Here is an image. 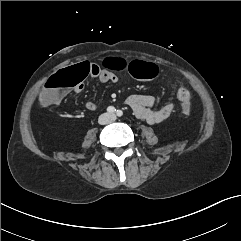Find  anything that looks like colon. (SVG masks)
<instances>
[{"instance_id":"colon-1","label":"colon","mask_w":241,"mask_h":241,"mask_svg":"<svg viewBox=\"0 0 241 241\" xmlns=\"http://www.w3.org/2000/svg\"><path fill=\"white\" fill-rule=\"evenodd\" d=\"M104 66L114 71H124L129 69L131 74L140 78H152L157 73V68L152 63H140L133 61L130 64L123 58H107ZM90 73V66L85 61H78L72 66H68L54 74L46 83L41 95V102L50 105L60 101L64 93L78 86L81 81ZM178 98L181 101V111L184 115L191 114L190 93L182 89L178 91Z\"/></svg>"}]
</instances>
